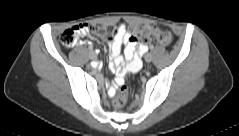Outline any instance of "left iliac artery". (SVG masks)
I'll use <instances>...</instances> for the list:
<instances>
[{
	"label": "left iliac artery",
	"instance_id": "1",
	"mask_svg": "<svg viewBox=\"0 0 239 136\" xmlns=\"http://www.w3.org/2000/svg\"><path fill=\"white\" fill-rule=\"evenodd\" d=\"M150 50H154V45H150Z\"/></svg>",
	"mask_w": 239,
	"mask_h": 136
}]
</instances>
